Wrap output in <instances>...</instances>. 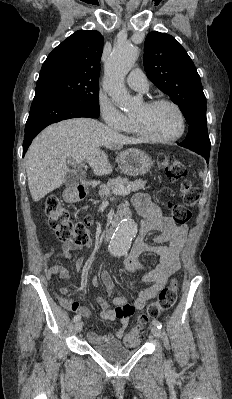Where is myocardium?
<instances>
[{"mask_svg": "<svg viewBox=\"0 0 232 399\" xmlns=\"http://www.w3.org/2000/svg\"><path fill=\"white\" fill-rule=\"evenodd\" d=\"M158 105H170L177 111V113L179 115V119H180V130H179V132L176 135H174L172 137H168V138L153 137V136L149 135L143 129V127L141 126V124H140V122L138 120L133 118L132 119V124L134 126V129H135L137 135L141 139H143L145 141H148V142H151V143H171V142L179 140L184 135V133L186 131V119H185V115H184L183 110L175 102L170 101V100H166V99L150 100V101L145 102V104H144V106L147 107V108H152V107H155V106H158Z\"/></svg>", "mask_w": 232, "mask_h": 399, "instance_id": "obj_1", "label": "myocardium"}]
</instances>
